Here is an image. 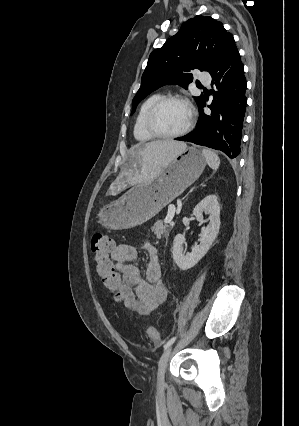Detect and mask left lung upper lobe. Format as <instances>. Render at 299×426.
<instances>
[{"label":"left lung upper lobe","instance_id":"5c2ea615","mask_svg":"<svg viewBox=\"0 0 299 426\" xmlns=\"http://www.w3.org/2000/svg\"><path fill=\"white\" fill-rule=\"evenodd\" d=\"M235 50L234 38L221 22L208 16L189 19L178 33L150 54L141 86L132 101L131 114L155 89L167 84L187 88L193 81L192 70L210 73ZM202 99V95L195 97L198 104Z\"/></svg>","mask_w":299,"mask_h":426}]
</instances>
